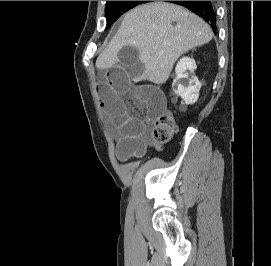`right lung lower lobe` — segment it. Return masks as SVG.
I'll return each instance as SVG.
<instances>
[{
  "label": "right lung lower lobe",
  "mask_w": 271,
  "mask_h": 266,
  "mask_svg": "<svg viewBox=\"0 0 271 266\" xmlns=\"http://www.w3.org/2000/svg\"><path fill=\"white\" fill-rule=\"evenodd\" d=\"M186 7L202 17L216 32V14L211 1H167Z\"/></svg>",
  "instance_id": "obj_1"
}]
</instances>
